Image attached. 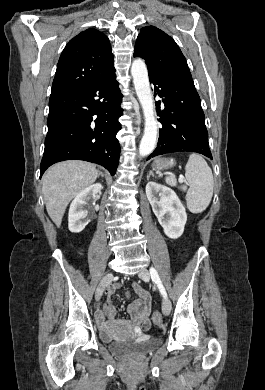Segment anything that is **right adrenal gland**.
Returning <instances> with one entry per match:
<instances>
[{
  "label": "right adrenal gland",
  "mask_w": 265,
  "mask_h": 390,
  "mask_svg": "<svg viewBox=\"0 0 265 390\" xmlns=\"http://www.w3.org/2000/svg\"><path fill=\"white\" fill-rule=\"evenodd\" d=\"M98 176L104 177V174L99 171V175Z\"/></svg>",
  "instance_id": "obj_1"
}]
</instances>
